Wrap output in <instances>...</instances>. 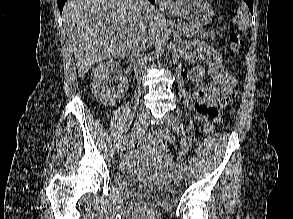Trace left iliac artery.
<instances>
[{
  "instance_id": "1",
  "label": "left iliac artery",
  "mask_w": 293,
  "mask_h": 219,
  "mask_svg": "<svg viewBox=\"0 0 293 219\" xmlns=\"http://www.w3.org/2000/svg\"><path fill=\"white\" fill-rule=\"evenodd\" d=\"M177 119H178V124L181 130L179 157L182 160H186L188 145L186 141V135H185V129H184V123H183V114H182V110L179 107L177 108Z\"/></svg>"
}]
</instances>
